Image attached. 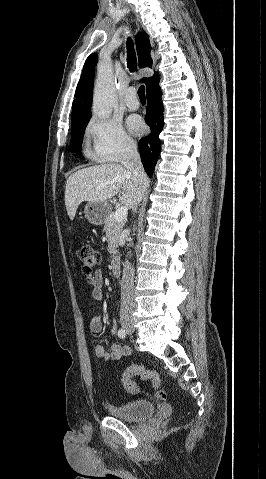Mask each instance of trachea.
<instances>
[{
	"instance_id": "trachea-1",
	"label": "trachea",
	"mask_w": 266,
	"mask_h": 479,
	"mask_svg": "<svg viewBox=\"0 0 266 479\" xmlns=\"http://www.w3.org/2000/svg\"><path fill=\"white\" fill-rule=\"evenodd\" d=\"M127 67L129 68L130 72H135L137 67V58H136V53L134 49V44L130 38H128L127 40ZM138 96L140 100H146L144 86L139 87Z\"/></svg>"
}]
</instances>
